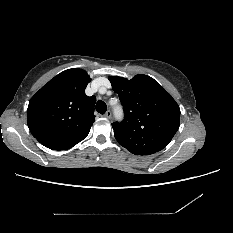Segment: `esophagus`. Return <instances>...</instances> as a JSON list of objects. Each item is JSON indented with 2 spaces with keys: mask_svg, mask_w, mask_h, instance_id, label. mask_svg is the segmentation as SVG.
<instances>
[{
  "mask_svg": "<svg viewBox=\"0 0 233 233\" xmlns=\"http://www.w3.org/2000/svg\"><path fill=\"white\" fill-rule=\"evenodd\" d=\"M111 116H112V113H111V111L110 110H108L105 114H104V117H106V118H111Z\"/></svg>",
  "mask_w": 233,
  "mask_h": 233,
  "instance_id": "obj_1",
  "label": "esophagus"
}]
</instances>
